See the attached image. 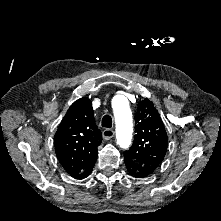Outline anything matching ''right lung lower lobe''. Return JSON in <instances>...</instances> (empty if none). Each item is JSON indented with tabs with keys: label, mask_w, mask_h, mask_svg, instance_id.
Listing matches in <instances>:
<instances>
[{
	"label": "right lung lower lobe",
	"mask_w": 221,
	"mask_h": 221,
	"mask_svg": "<svg viewBox=\"0 0 221 221\" xmlns=\"http://www.w3.org/2000/svg\"><path fill=\"white\" fill-rule=\"evenodd\" d=\"M93 167H94V166H93ZM93 167H92L90 170H88V172L86 173V175L84 176V178H86V177L91 173ZM84 178H82V179H84Z\"/></svg>",
	"instance_id": "98d812e1"
}]
</instances>
